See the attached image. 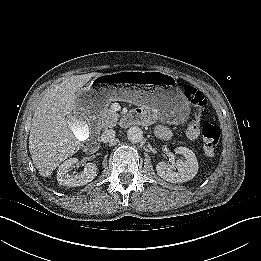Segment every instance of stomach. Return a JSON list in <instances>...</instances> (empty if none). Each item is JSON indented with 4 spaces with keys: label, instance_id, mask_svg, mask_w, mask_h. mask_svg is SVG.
Returning <instances> with one entry per match:
<instances>
[{
    "label": "stomach",
    "instance_id": "1",
    "mask_svg": "<svg viewBox=\"0 0 261 261\" xmlns=\"http://www.w3.org/2000/svg\"><path fill=\"white\" fill-rule=\"evenodd\" d=\"M84 92L83 111L100 112L110 101H131L158 108L162 117L179 123L189 112V103L176 87L175 78L159 71H121L95 77Z\"/></svg>",
    "mask_w": 261,
    "mask_h": 261
}]
</instances>
